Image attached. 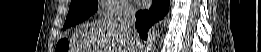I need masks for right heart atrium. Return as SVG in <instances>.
Returning a JSON list of instances; mask_svg holds the SVG:
<instances>
[{
	"label": "right heart atrium",
	"instance_id": "1",
	"mask_svg": "<svg viewBox=\"0 0 261 52\" xmlns=\"http://www.w3.org/2000/svg\"><path fill=\"white\" fill-rule=\"evenodd\" d=\"M102 15L106 17H126L132 14L131 4L126 0H102Z\"/></svg>",
	"mask_w": 261,
	"mask_h": 52
}]
</instances>
